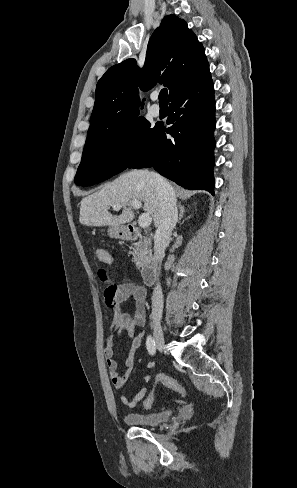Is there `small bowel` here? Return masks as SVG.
<instances>
[{"label":"small bowel","instance_id":"1","mask_svg":"<svg viewBox=\"0 0 297 488\" xmlns=\"http://www.w3.org/2000/svg\"><path fill=\"white\" fill-rule=\"evenodd\" d=\"M106 258L101 262L111 264L113 257L111 254L104 250ZM146 289L133 281L124 280L117 284V292L115 304H120L124 301L132 299L135 302V310L132 314L115 312L114 322L118 329L127 334L131 338L130 348L124 362V370L120 371L118 362L114 357L113 338L109 337L107 345L104 349V357L106 360L110 379L116 389L121 390L127 384L130 373L135 364V355L139 347L141 346L144 338V331L136 334L137 328H143L146 323ZM152 363L149 364V367ZM145 382L151 381V375L146 374L143 377ZM147 395V388H142L133 397H128L124 394L120 395V401L123 405L128 407H134L139 401H141Z\"/></svg>","mask_w":297,"mask_h":488}]
</instances>
